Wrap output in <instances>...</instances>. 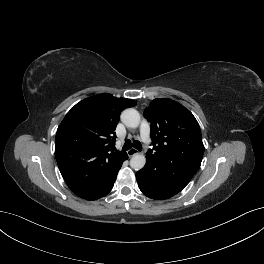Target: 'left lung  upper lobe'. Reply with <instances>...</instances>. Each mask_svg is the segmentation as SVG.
Masks as SVG:
<instances>
[{
	"label": "left lung upper lobe",
	"instance_id": "1",
	"mask_svg": "<svg viewBox=\"0 0 264 264\" xmlns=\"http://www.w3.org/2000/svg\"><path fill=\"white\" fill-rule=\"evenodd\" d=\"M151 123L153 149L146 158L154 159L167 172H181L191 179L201 165L204 145L199 124L180 103L168 98L154 99L145 109Z\"/></svg>",
	"mask_w": 264,
	"mask_h": 264
}]
</instances>
